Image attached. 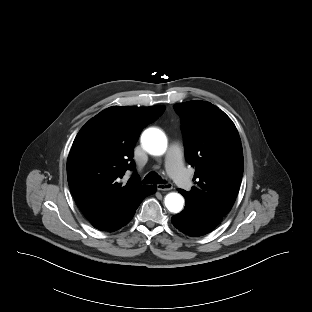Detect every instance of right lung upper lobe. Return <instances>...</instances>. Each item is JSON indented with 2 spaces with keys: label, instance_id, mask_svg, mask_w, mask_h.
<instances>
[{
  "label": "right lung upper lobe",
  "instance_id": "1",
  "mask_svg": "<svg viewBox=\"0 0 312 312\" xmlns=\"http://www.w3.org/2000/svg\"><path fill=\"white\" fill-rule=\"evenodd\" d=\"M165 106H112L90 119L77 134L67 160L68 184L84 216L108 231L128 214L147 185L136 172L126 184L121 178L135 167L133 147L141 130L155 121Z\"/></svg>",
  "mask_w": 312,
  "mask_h": 312
}]
</instances>
